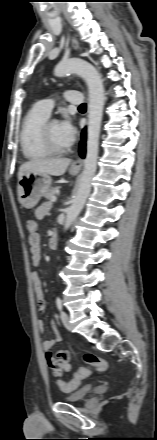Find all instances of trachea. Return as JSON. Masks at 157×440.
Masks as SVG:
<instances>
[{
  "mask_svg": "<svg viewBox=\"0 0 157 440\" xmlns=\"http://www.w3.org/2000/svg\"><path fill=\"white\" fill-rule=\"evenodd\" d=\"M79 108H80V109H84V108H86V104H85V103L81 104V105L79 106Z\"/></svg>",
  "mask_w": 157,
  "mask_h": 440,
  "instance_id": "trachea-1",
  "label": "trachea"
}]
</instances>
